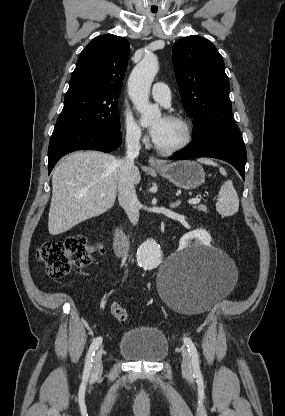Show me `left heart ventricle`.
Returning a JSON list of instances; mask_svg holds the SVG:
<instances>
[{
  "mask_svg": "<svg viewBox=\"0 0 285 416\" xmlns=\"http://www.w3.org/2000/svg\"><path fill=\"white\" fill-rule=\"evenodd\" d=\"M160 119L153 120V124L158 122ZM183 133L182 129L170 121L169 119L165 118L164 120V132L162 135L161 140L157 144L159 147L162 148H170L178 144L182 139Z\"/></svg>",
  "mask_w": 285,
  "mask_h": 416,
  "instance_id": "left-heart-ventricle-1",
  "label": "left heart ventricle"
}]
</instances>
